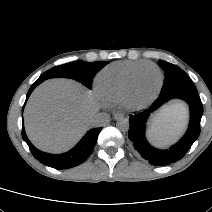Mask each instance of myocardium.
Instances as JSON below:
<instances>
[{"instance_id":"1","label":"myocardium","mask_w":212,"mask_h":212,"mask_svg":"<svg viewBox=\"0 0 212 212\" xmlns=\"http://www.w3.org/2000/svg\"><path fill=\"white\" fill-rule=\"evenodd\" d=\"M146 69H154L158 73L159 81L156 88L147 97L139 100L136 98L138 83L142 72ZM162 81H163V74L158 66H156L153 63L142 66L141 68L137 69L132 75L127 90L125 92L122 104L126 109L132 111H139L146 108L156 98L162 85Z\"/></svg>"}]
</instances>
